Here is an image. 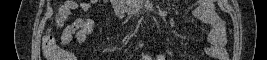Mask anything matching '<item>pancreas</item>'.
Here are the masks:
<instances>
[{"label":"pancreas","mask_w":267,"mask_h":60,"mask_svg":"<svg viewBox=\"0 0 267 60\" xmlns=\"http://www.w3.org/2000/svg\"><path fill=\"white\" fill-rule=\"evenodd\" d=\"M125 3L132 7V9H135L134 0H125Z\"/></svg>","instance_id":"pancreas-1"}]
</instances>
